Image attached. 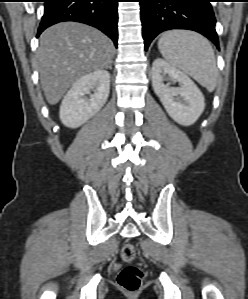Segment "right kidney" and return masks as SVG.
<instances>
[{"label": "right kidney", "mask_w": 248, "mask_h": 299, "mask_svg": "<svg viewBox=\"0 0 248 299\" xmlns=\"http://www.w3.org/2000/svg\"><path fill=\"white\" fill-rule=\"evenodd\" d=\"M109 90L110 73L106 70L99 69L78 79L62 100V123L67 127L77 128L87 122L104 106Z\"/></svg>", "instance_id": "right-kidney-1"}]
</instances>
